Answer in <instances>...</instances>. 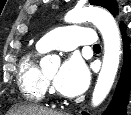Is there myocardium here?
Masks as SVG:
<instances>
[{"mask_svg": "<svg viewBox=\"0 0 131 115\" xmlns=\"http://www.w3.org/2000/svg\"><path fill=\"white\" fill-rule=\"evenodd\" d=\"M44 82H45V87H46V89H49L50 80H49L46 76H44Z\"/></svg>", "mask_w": 131, "mask_h": 115, "instance_id": "1", "label": "myocardium"}]
</instances>
